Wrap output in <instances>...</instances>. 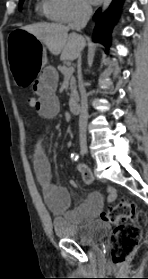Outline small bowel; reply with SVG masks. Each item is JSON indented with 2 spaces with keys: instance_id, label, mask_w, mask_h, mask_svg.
Returning <instances> with one entry per match:
<instances>
[{
  "instance_id": "1",
  "label": "small bowel",
  "mask_w": 148,
  "mask_h": 279,
  "mask_svg": "<svg viewBox=\"0 0 148 279\" xmlns=\"http://www.w3.org/2000/svg\"><path fill=\"white\" fill-rule=\"evenodd\" d=\"M58 83V73L54 67L43 68L33 85V91L37 95V113L44 118L55 117L60 109L59 100L56 95ZM34 171L37 181L42 188L45 201L49 208L56 212H66L70 206V196L68 191L53 182L51 166L47 154L46 144L43 136L38 135L33 143L31 153ZM84 181H92V173L84 164H77ZM75 186V182H71ZM117 197L116 190L109 187L107 189V199L114 201ZM103 207V200L99 193H91L88 198L76 208L67 212L68 218L74 223H81L97 217Z\"/></svg>"
}]
</instances>
